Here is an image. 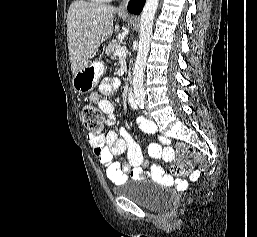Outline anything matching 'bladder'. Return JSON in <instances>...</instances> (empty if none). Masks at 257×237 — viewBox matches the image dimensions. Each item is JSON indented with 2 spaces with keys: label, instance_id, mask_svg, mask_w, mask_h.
I'll list each match as a JSON object with an SVG mask.
<instances>
[{
  "label": "bladder",
  "instance_id": "obj_1",
  "mask_svg": "<svg viewBox=\"0 0 257 237\" xmlns=\"http://www.w3.org/2000/svg\"><path fill=\"white\" fill-rule=\"evenodd\" d=\"M141 183H148V181H125L120 186L115 187V190L119 196L150 210L161 208L170 201L171 196L165 190L155 191L141 186Z\"/></svg>",
  "mask_w": 257,
  "mask_h": 237
}]
</instances>
